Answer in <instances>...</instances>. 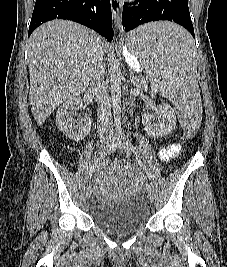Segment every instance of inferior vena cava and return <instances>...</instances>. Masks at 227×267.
I'll return each instance as SVG.
<instances>
[{"label": "inferior vena cava", "mask_w": 227, "mask_h": 267, "mask_svg": "<svg viewBox=\"0 0 227 267\" xmlns=\"http://www.w3.org/2000/svg\"><path fill=\"white\" fill-rule=\"evenodd\" d=\"M104 70V50L96 47L90 74V88L95 94L98 103V134L100 137H103L106 133L111 134L113 132L111 100L108 95Z\"/></svg>", "instance_id": "inferior-vena-cava-1"}]
</instances>
